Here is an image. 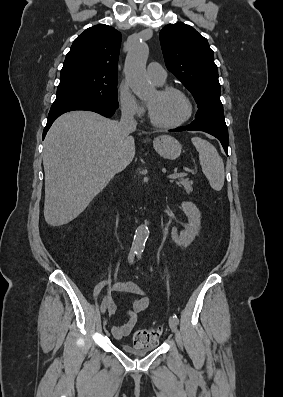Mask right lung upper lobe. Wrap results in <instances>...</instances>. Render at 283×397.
I'll return each instance as SVG.
<instances>
[{
  "label": "right lung upper lobe",
  "mask_w": 283,
  "mask_h": 397,
  "mask_svg": "<svg viewBox=\"0 0 283 397\" xmlns=\"http://www.w3.org/2000/svg\"><path fill=\"white\" fill-rule=\"evenodd\" d=\"M121 33L108 25L86 29L67 53L62 73L117 77Z\"/></svg>",
  "instance_id": "cb5924a9"
}]
</instances>
